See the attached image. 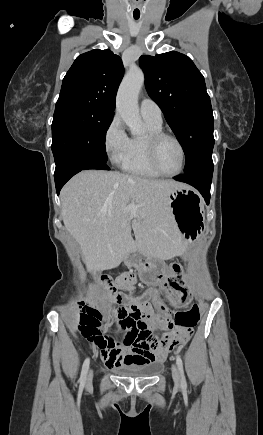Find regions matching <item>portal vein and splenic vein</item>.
<instances>
[{"label":"portal vein and splenic vein","instance_id":"portal-vein-and-splenic-vein-1","mask_svg":"<svg viewBox=\"0 0 263 435\" xmlns=\"http://www.w3.org/2000/svg\"><path fill=\"white\" fill-rule=\"evenodd\" d=\"M136 210H137V206L132 204V205H129L125 208L124 214L128 213V216H129L128 219L130 220L136 216Z\"/></svg>","mask_w":263,"mask_h":435}]
</instances>
